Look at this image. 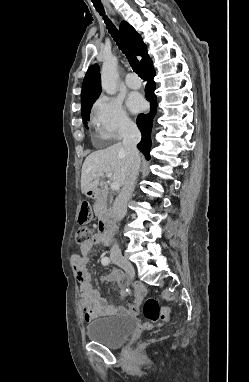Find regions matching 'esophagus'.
<instances>
[{
	"mask_svg": "<svg viewBox=\"0 0 249 382\" xmlns=\"http://www.w3.org/2000/svg\"><path fill=\"white\" fill-rule=\"evenodd\" d=\"M106 6H107V8L109 9V11H110L111 13H114L113 9L111 8V6H110L109 4H106Z\"/></svg>",
	"mask_w": 249,
	"mask_h": 382,
	"instance_id": "obj_1",
	"label": "esophagus"
}]
</instances>
